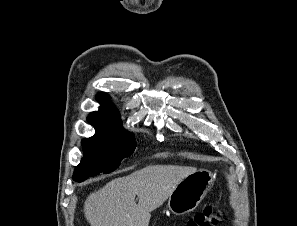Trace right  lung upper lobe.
<instances>
[{"label": "right lung upper lobe", "instance_id": "obj_1", "mask_svg": "<svg viewBox=\"0 0 297 226\" xmlns=\"http://www.w3.org/2000/svg\"><path fill=\"white\" fill-rule=\"evenodd\" d=\"M97 100H100L101 107L99 111L89 114L87 120L95 129L113 128L120 123V116L109 96L105 93H99Z\"/></svg>", "mask_w": 297, "mask_h": 226}]
</instances>
